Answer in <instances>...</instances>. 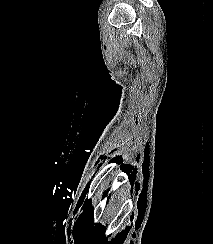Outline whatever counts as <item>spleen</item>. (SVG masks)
<instances>
[{"label":"spleen","mask_w":213,"mask_h":244,"mask_svg":"<svg viewBox=\"0 0 213 244\" xmlns=\"http://www.w3.org/2000/svg\"><path fill=\"white\" fill-rule=\"evenodd\" d=\"M121 197H123V191H121ZM123 199L121 198V200H119V203H118V206L117 208H120L121 207V203H122ZM117 208L115 207V205L113 204L112 200H111V203H110V206H109V209L107 212L108 214L105 216V221L106 222H109L110 220H113L116 216V213H117Z\"/></svg>","instance_id":"obj_1"}]
</instances>
